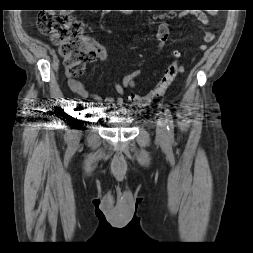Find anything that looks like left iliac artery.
<instances>
[{
	"label": "left iliac artery",
	"mask_w": 253,
	"mask_h": 253,
	"mask_svg": "<svg viewBox=\"0 0 253 253\" xmlns=\"http://www.w3.org/2000/svg\"><path fill=\"white\" fill-rule=\"evenodd\" d=\"M165 122L167 125L168 141L170 143H173L174 142V124H173L172 115L169 109L165 110Z\"/></svg>",
	"instance_id": "44dca946"
}]
</instances>
